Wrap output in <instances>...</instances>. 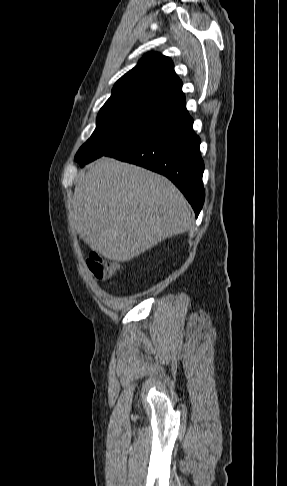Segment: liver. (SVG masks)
Listing matches in <instances>:
<instances>
[{"instance_id": "6515ba94", "label": "liver", "mask_w": 287, "mask_h": 486, "mask_svg": "<svg viewBox=\"0 0 287 486\" xmlns=\"http://www.w3.org/2000/svg\"><path fill=\"white\" fill-rule=\"evenodd\" d=\"M72 216L80 238L116 262L130 261L192 225L185 197L167 178L109 157L79 174Z\"/></svg>"}]
</instances>
